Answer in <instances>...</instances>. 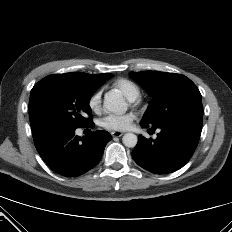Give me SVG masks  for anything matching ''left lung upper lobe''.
<instances>
[{
	"label": "left lung upper lobe",
	"instance_id": "left-lung-upper-lobe-1",
	"mask_svg": "<svg viewBox=\"0 0 232 232\" xmlns=\"http://www.w3.org/2000/svg\"><path fill=\"white\" fill-rule=\"evenodd\" d=\"M129 75L153 97L142 123L157 127L177 116L202 114L201 94L186 76L159 71L130 72Z\"/></svg>",
	"mask_w": 232,
	"mask_h": 232
}]
</instances>
